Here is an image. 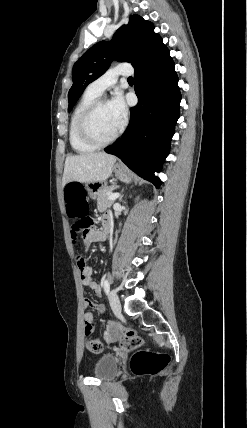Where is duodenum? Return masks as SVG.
<instances>
[{"mask_svg":"<svg viewBox=\"0 0 247 428\" xmlns=\"http://www.w3.org/2000/svg\"><path fill=\"white\" fill-rule=\"evenodd\" d=\"M110 225H111V223H110V219L109 218H107V219H105L103 221L102 228H101L103 234L106 235L108 233V231L110 229Z\"/></svg>","mask_w":247,"mask_h":428,"instance_id":"1","label":"duodenum"}]
</instances>
